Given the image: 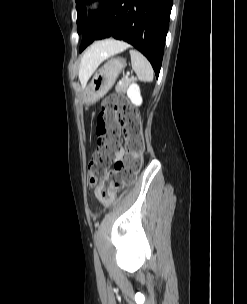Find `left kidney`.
<instances>
[{
    "label": "left kidney",
    "mask_w": 247,
    "mask_h": 304,
    "mask_svg": "<svg viewBox=\"0 0 247 304\" xmlns=\"http://www.w3.org/2000/svg\"><path fill=\"white\" fill-rule=\"evenodd\" d=\"M127 96L134 105L140 106L142 104V97H141V94H140V87L136 83H132L128 87Z\"/></svg>",
    "instance_id": "left-kidney-1"
}]
</instances>
